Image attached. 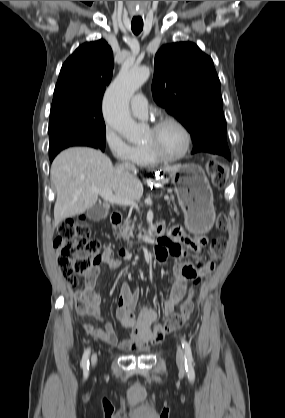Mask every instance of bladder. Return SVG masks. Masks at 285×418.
<instances>
[{"mask_svg":"<svg viewBox=\"0 0 285 418\" xmlns=\"http://www.w3.org/2000/svg\"><path fill=\"white\" fill-rule=\"evenodd\" d=\"M148 351V349H141V350H139V354H144V353H146Z\"/></svg>","mask_w":285,"mask_h":418,"instance_id":"1","label":"bladder"}]
</instances>
